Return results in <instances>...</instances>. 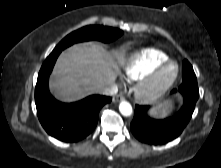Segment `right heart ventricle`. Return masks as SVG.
I'll return each mask as SVG.
<instances>
[{
    "mask_svg": "<svg viewBox=\"0 0 221 168\" xmlns=\"http://www.w3.org/2000/svg\"><path fill=\"white\" fill-rule=\"evenodd\" d=\"M166 60L168 56L163 51L154 48L144 49L131 56L124 72L127 78L139 80Z\"/></svg>",
    "mask_w": 221,
    "mask_h": 168,
    "instance_id": "right-heart-ventricle-1",
    "label": "right heart ventricle"
}]
</instances>
